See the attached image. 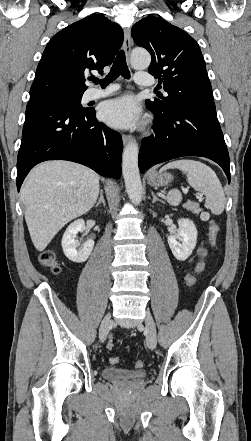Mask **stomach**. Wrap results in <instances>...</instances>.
Wrapping results in <instances>:
<instances>
[{"label":"stomach","mask_w":251,"mask_h":441,"mask_svg":"<svg viewBox=\"0 0 251 441\" xmlns=\"http://www.w3.org/2000/svg\"><path fill=\"white\" fill-rule=\"evenodd\" d=\"M173 176L170 173L166 172H156L152 171L148 176V182L150 185L154 187L164 186L171 182Z\"/></svg>","instance_id":"1"}]
</instances>
